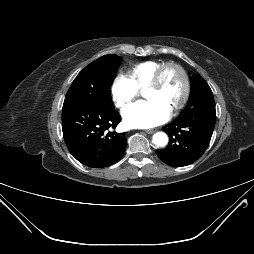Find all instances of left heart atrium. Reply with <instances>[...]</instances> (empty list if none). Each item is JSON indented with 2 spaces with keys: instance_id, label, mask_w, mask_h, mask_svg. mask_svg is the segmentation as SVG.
Listing matches in <instances>:
<instances>
[{
  "instance_id": "left-heart-atrium-1",
  "label": "left heart atrium",
  "mask_w": 254,
  "mask_h": 254,
  "mask_svg": "<svg viewBox=\"0 0 254 254\" xmlns=\"http://www.w3.org/2000/svg\"><path fill=\"white\" fill-rule=\"evenodd\" d=\"M124 122L132 128H150L165 122L170 111L155 100L137 101L122 110Z\"/></svg>"
}]
</instances>
